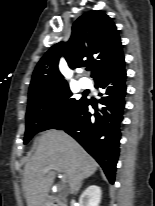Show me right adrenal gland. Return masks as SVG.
I'll return each mask as SVG.
<instances>
[{
  "instance_id": "right-adrenal-gland-1",
  "label": "right adrenal gland",
  "mask_w": 155,
  "mask_h": 206,
  "mask_svg": "<svg viewBox=\"0 0 155 206\" xmlns=\"http://www.w3.org/2000/svg\"><path fill=\"white\" fill-rule=\"evenodd\" d=\"M82 184H83V182H81V183H80L79 189L81 188ZM78 191H79V190H78ZM78 191H76V193H75V194H77V193H78Z\"/></svg>"
}]
</instances>
